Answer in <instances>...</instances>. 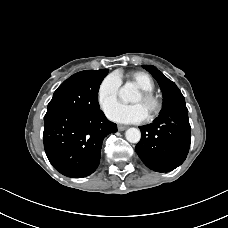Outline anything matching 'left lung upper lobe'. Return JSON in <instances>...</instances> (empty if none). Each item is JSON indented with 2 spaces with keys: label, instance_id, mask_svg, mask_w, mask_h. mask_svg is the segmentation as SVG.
I'll list each match as a JSON object with an SVG mask.
<instances>
[{
  "label": "left lung upper lobe",
  "instance_id": "5c2ea615",
  "mask_svg": "<svg viewBox=\"0 0 228 228\" xmlns=\"http://www.w3.org/2000/svg\"><path fill=\"white\" fill-rule=\"evenodd\" d=\"M143 67L149 71L153 77L157 80L160 85L163 94V107L162 110L170 106L176 101L185 100L179 88L174 82L169 80L161 71H159L155 66L143 65ZM161 110V111H162Z\"/></svg>",
  "mask_w": 228,
  "mask_h": 228
}]
</instances>
